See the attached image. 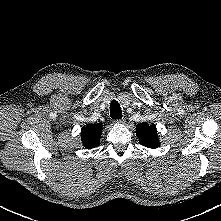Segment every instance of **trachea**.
Returning <instances> with one entry per match:
<instances>
[{"instance_id":"1","label":"trachea","mask_w":221,"mask_h":221,"mask_svg":"<svg viewBox=\"0 0 221 221\" xmlns=\"http://www.w3.org/2000/svg\"><path fill=\"white\" fill-rule=\"evenodd\" d=\"M110 115L113 119H120L122 118V110L120 108V105L117 101L113 100L110 103Z\"/></svg>"}]
</instances>
